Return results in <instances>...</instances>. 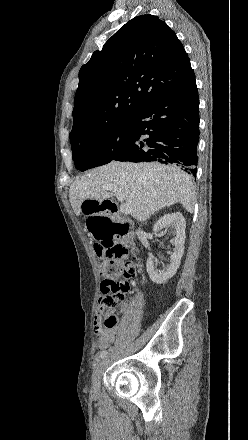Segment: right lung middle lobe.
<instances>
[{
    "mask_svg": "<svg viewBox=\"0 0 248 440\" xmlns=\"http://www.w3.org/2000/svg\"><path fill=\"white\" fill-rule=\"evenodd\" d=\"M133 125L127 120L118 126L93 137L71 140L72 157L80 171L118 160L128 149Z\"/></svg>",
    "mask_w": 248,
    "mask_h": 440,
    "instance_id": "obj_1",
    "label": "right lung middle lobe"
}]
</instances>
